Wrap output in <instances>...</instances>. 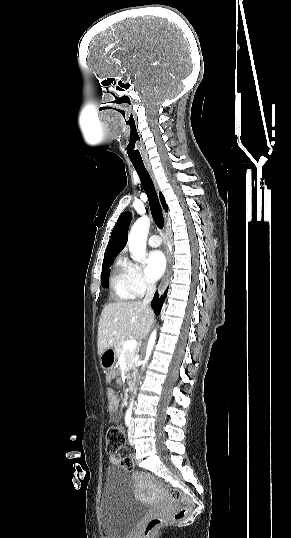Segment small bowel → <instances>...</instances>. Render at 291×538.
Segmentation results:
<instances>
[{
    "label": "small bowel",
    "instance_id": "small-bowel-1",
    "mask_svg": "<svg viewBox=\"0 0 291 538\" xmlns=\"http://www.w3.org/2000/svg\"><path fill=\"white\" fill-rule=\"evenodd\" d=\"M113 379H115V376L113 374H110L106 378L107 382H111ZM107 399H108V412L112 418L116 419L118 417L117 416L118 399L112 388L107 389ZM109 460L112 464H119V462L121 461V457L117 455H112L110 456Z\"/></svg>",
    "mask_w": 291,
    "mask_h": 538
}]
</instances>
